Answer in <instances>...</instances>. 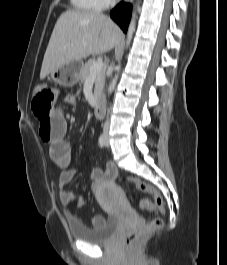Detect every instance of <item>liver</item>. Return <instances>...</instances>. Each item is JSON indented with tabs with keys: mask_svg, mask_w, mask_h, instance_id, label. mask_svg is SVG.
<instances>
[{
	"mask_svg": "<svg viewBox=\"0 0 227 265\" xmlns=\"http://www.w3.org/2000/svg\"><path fill=\"white\" fill-rule=\"evenodd\" d=\"M121 29L106 16L93 11H66L50 37L40 72L44 79L53 70L89 55L110 51L122 39Z\"/></svg>",
	"mask_w": 227,
	"mask_h": 265,
	"instance_id": "6515ba94",
	"label": "liver"
}]
</instances>
